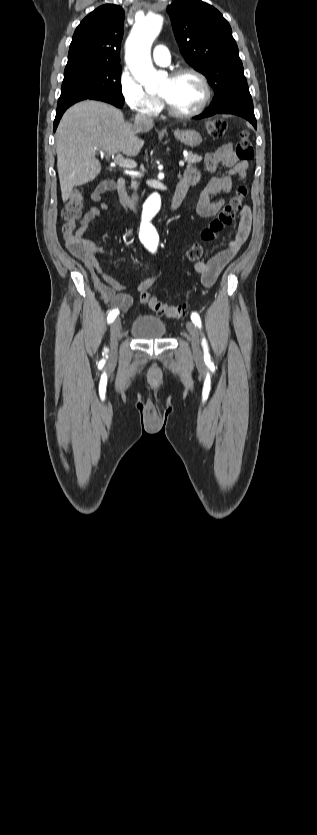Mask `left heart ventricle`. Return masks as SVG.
Returning a JSON list of instances; mask_svg holds the SVG:
<instances>
[{
	"label": "left heart ventricle",
	"mask_w": 317,
	"mask_h": 835,
	"mask_svg": "<svg viewBox=\"0 0 317 835\" xmlns=\"http://www.w3.org/2000/svg\"><path fill=\"white\" fill-rule=\"evenodd\" d=\"M159 94L165 97L175 110L189 112L199 104L203 89L196 77L182 75L174 79L166 78L160 87Z\"/></svg>",
	"instance_id": "left-heart-ventricle-1"
}]
</instances>
